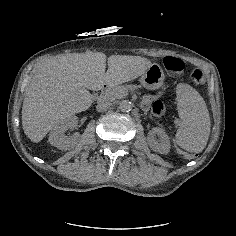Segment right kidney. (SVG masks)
Returning a JSON list of instances; mask_svg holds the SVG:
<instances>
[{
    "label": "right kidney",
    "instance_id": "obj_1",
    "mask_svg": "<svg viewBox=\"0 0 236 236\" xmlns=\"http://www.w3.org/2000/svg\"><path fill=\"white\" fill-rule=\"evenodd\" d=\"M77 124V118H69L63 125L56 127L49 134V143L62 151H71L81 146V135L75 133L73 137L68 138L63 132Z\"/></svg>",
    "mask_w": 236,
    "mask_h": 236
}]
</instances>
